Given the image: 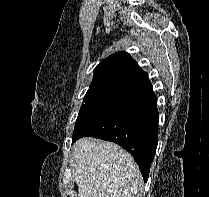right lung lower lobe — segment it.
<instances>
[{"mask_svg":"<svg viewBox=\"0 0 209 197\" xmlns=\"http://www.w3.org/2000/svg\"><path fill=\"white\" fill-rule=\"evenodd\" d=\"M158 122L157 97L150 88L74 132L72 142L89 136L117 143L133 156L147 181L158 143Z\"/></svg>","mask_w":209,"mask_h":197,"instance_id":"1","label":"right lung lower lobe"}]
</instances>
